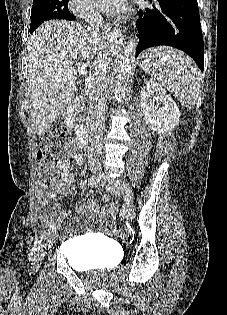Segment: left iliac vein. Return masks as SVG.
<instances>
[{
	"mask_svg": "<svg viewBox=\"0 0 227 315\" xmlns=\"http://www.w3.org/2000/svg\"><path fill=\"white\" fill-rule=\"evenodd\" d=\"M119 181V182H118ZM101 185L105 186V188L113 195L120 197L121 193H130L133 195L132 190L128 187L127 184L118 179H110L103 177L101 180ZM124 214L128 220H132L134 218V207L131 203V200L126 199L123 204Z\"/></svg>",
	"mask_w": 227,
	"mask_h": 315,
	"instance_id": "obj_1",
	"label": "left iliac vein"
}]
</instances>
